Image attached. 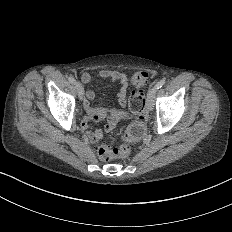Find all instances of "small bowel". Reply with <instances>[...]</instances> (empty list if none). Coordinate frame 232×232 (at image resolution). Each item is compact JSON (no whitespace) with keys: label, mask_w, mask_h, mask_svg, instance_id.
Masks as SVG:
<instances>
[{"label":"small bowel","mask_w":232,"mask_h":232,"mask_svg":"<svg viewBox=\"0 0 232 232\" xmlns=\"http://www.w3.org/2000/svg\"><path fill=\"white\" fill-rule=\"evenodd\" d=\"M96 78L100 80L111 79L119 84V110H105L91 105L95 93L92 89L83 88V86L92 83L93 78L81 72L78 76V82L82 88L79 90V102L82 110V115L75 128L76 136L84 143L99 142L105 132H110L115 128L117 121L125 120L129 117V112L125 109L126 96L128 92L129 80L125 73L119 70L101 69L97 72ZM104 121L102 129L92 130L90 125L94 121Z\"/></svg>","instance_id":"1"}]
</instances>
